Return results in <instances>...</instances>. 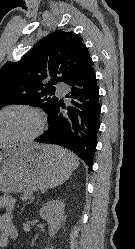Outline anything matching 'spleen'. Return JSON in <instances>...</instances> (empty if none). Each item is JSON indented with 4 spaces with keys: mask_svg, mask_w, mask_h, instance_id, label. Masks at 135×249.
Returning <instances> with one entry per match:
<instances>
[{
    "mask_svg": "<svg viewBox=\"0 0 135 249\" xmlns=\"http://www.w3.org/2000/svg\"><path fill=\"white\" fill-rule=\"evenodd\" d=\"M58 152H59V155L61 157H63L64 159L71 160L73 162V164H74L75 167L78 166L79 160H78V158L74 154H72L71 152H69L67 150H64L62 148H59Z\"/></svg>",
    "mask_w": 135,
    "mask_h": 249,
    "instance_id": "3e777b00",
    "label": "spleen"
}]
</instances>
